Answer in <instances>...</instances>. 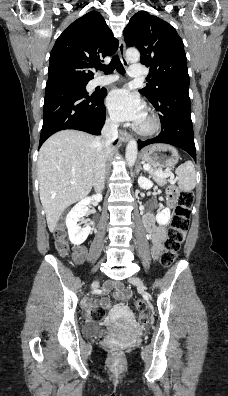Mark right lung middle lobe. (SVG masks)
<instances>
[{
  "instance_id": "obj_1",
  "label": "right lung middle lobe",
  "mask_w": 228,
  "mask_h": 396,
  "mask_svg": "<svg viewBox=\"0 0 228 396\" xmlns=\"http://www.w3.org/2000/svg\"><path fill=\"white\" fill-rule=\"evenodd\" d=\"M87 83H88V82H75V83H64V84H60V85H63V86H70V87L76 88V89H78V90H80V91H82V92L88 94V93L86 92V89H85Z\"/></svg>"
}]
</instances>
